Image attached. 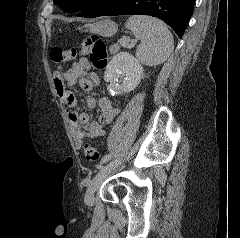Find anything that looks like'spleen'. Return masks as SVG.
<instances>
[{"label": "spleen", "mask_w": 240, "mask_h": 238, "mask_svg": "<svg viewBox=\"0 0 240 238\" xmlns=\"http://www.w3.org/2000/svg\"><path fill=\"white\" fill-rule=\"evenodd\" d=\"M126 27L140 40L136 48V57L142 64L156 66L165 62L171 55L174 49L173 36L162 21L134 15L129 17Z\"/></svg>", "instance_id": "1"}]
</instances>
